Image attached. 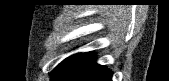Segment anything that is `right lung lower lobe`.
<instances>
[{
	"instance_id": "right-lung-lower-lobe-1",
	"label": "right lung lower lobe",
	"mask_w": 169,
	"mask_h": 81,
	"mask_svg": "<svg viewBox=\"0 0 169 81\" xmlns=\"http://www.w3.org/2000/svg\"><path fill=\"white\" fill-rule=\"evenodd\" d=\"M112 72L95 62L92 53L72 55L52 72V81H111Z\"/></svg>"
}]
</instances>
